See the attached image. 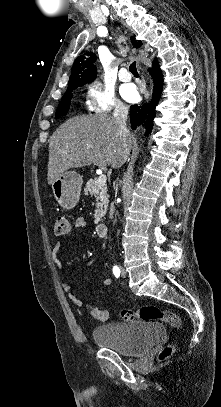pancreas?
<instances>
[{
	"mask_svg": "<svg viewBox=\"0 0 221 407\" xmlns=\"http://www.w3.org/2000/svg\"><path fill=\"white\" fill-rule=\"evenodd\" d=\"M97 178L90 179L84 188V194L94 196L97 201L95 213H94V223H99L102 217L106 214L108 208V189L107 185L98 186Z\"/></svg>",
	"mask_w": 221,
	"mask_h": 407,
	"instance_id": "pancreas-1",
	"label": "pancreas"
}]
</instances>
